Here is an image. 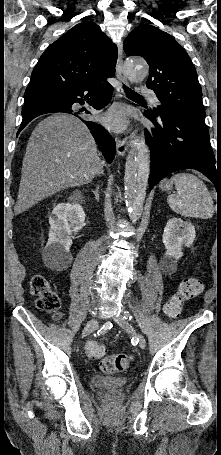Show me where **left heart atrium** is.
Here are the masks:
<instances>
[{"mask_svg": "<svg viewBox=\"0 0 221 455\" xmlns=\"http://www.w3.org/2000/svg\"><path fill=\"white\" fill-rule=\"evenodd\" d=\"M102 120L110 129L121 131L127 124L126 111L119 106L113 107L103 116Z\"/></svg>", "mask_w": 221, "mask_h": 455, "instance_id": "1", "label": "left heart atrium"}]
</instances>
